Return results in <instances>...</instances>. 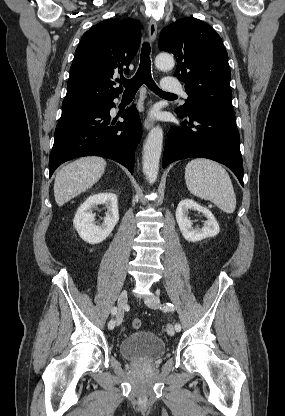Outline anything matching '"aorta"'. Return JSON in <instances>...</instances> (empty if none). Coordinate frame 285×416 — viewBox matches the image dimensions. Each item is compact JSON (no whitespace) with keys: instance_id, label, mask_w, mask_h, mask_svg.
Segmentation results:
<instances>
[{"instance_id":"762f6f07","label":"aorta","mask_w":285,"mask_h":416,"mask_svg":"<svg viewBox=\"0 0 285 416\" xmlns=\"http://www.w3.org/2000/svg\"><path fill=\"white\" fill-rule=\"evenodd\" d=\"M174 59L171 55L161 53L155 59V65L160 70H170L174 67ZM163 146V130L156 126L149 132L146 142L143 146V172L146 180L153 184L155 183L158 171L159 162Z\"/></svg>"}]
</instances>
